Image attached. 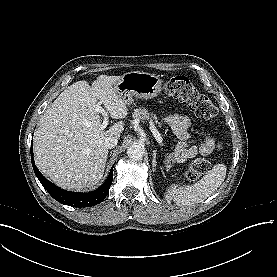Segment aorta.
<instances>
[{
  "mask_svg": "<svg viewBox=\"0 0 277 277\" xmlns=\"http://www.w3.org/2000/svg\"><path fill=\"white\" fill-rule=\"evenodd\" d=\"M144 147L140 144H133L127 149V156L131 160L139 161L143 158Z\"/></svg>",
  "mask_w": 277,
  "mask_h": 277,
  "instance_id": "aorta-1",
  "label": "aorta"
}]
</instances>
